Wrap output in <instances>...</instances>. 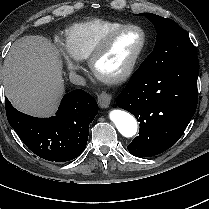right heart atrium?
I'll return each instance as SVG.
<instances>
[{"label": "right heart atrium", "instance_id": "obj_1", "mask_svg": "<svg viewBox=\"0 0 209 209\" xmlns=\"http://www.w3.org/2000/svg\"><path fill=\"white\" fill-rule=\"evenodd\" d=\"M60 50H61V58H62L63 62L65 63L67 69L72 73L77 72L80 68L77 60L74 59L69 54V52L66 50L65 47L61 46Z\"/></svg>", "mask_w": 209, "mask_h": 209}]
</instances>
